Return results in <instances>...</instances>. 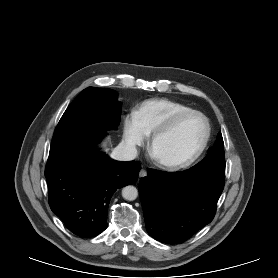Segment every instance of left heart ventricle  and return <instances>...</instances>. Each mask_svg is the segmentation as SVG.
<instances>
[{"label":"left heart ventricle","mask_w":278,"mask_h":278,"mask_svg":"<svg viewBox=\"0 0 278 278\" xmlns=\"http://www.w3.org/2000/svg\"><path fill=\"white\" fill-rule=\"evenodd\" d=\"M204 120L198 115L184 118L155 145V154L163 160H181L193 154L205 135Z\"/></svg>","instance_id":"left-heart-ventricle-1"}]
</instances>
